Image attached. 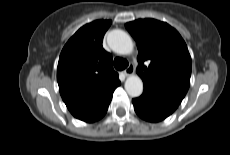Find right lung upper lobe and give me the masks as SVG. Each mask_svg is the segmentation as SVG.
Listing matches in <instances>:
<instances>
[{
  "instance_id": "1",
  "label": "right lung upper lobe",
  "mask_w": 230,
  "mask_h": 155,
  "mask_svg": "<svg viewBox=\"0 0 230 155\" xmlns=\"http://www.w3.org/2000/svg\"><path fill=\"white\" fill-rule=\"evenodd\" d=\"M110 20H96L81 27L64 46L58 62L57 81L63 101L78 119L108 104L120 85L112 56L102 47Z\"/></svg>"
}]
</instances>
